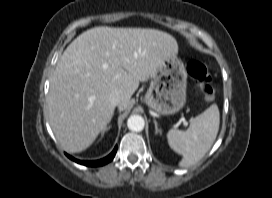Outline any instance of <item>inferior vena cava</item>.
Here are the masks:
<instances>
[{
  "instance_id": "inferior-vena-cava-1",
  "label": "inferior vena cava",
  "mask_w": 272,
  "mask_h": 198,
  "mask_svg": "<svg viewBox=\"0 0 272 198\" xmlns=\"http://www.w3.org/2000/svg\"><path fill=\"white\" fill-rule=\"evenodd\" d=\"M109 101L115 107L118 106L121 102V96L118 92H112L109 96Z\"/></svg>"
}]
</instances>
